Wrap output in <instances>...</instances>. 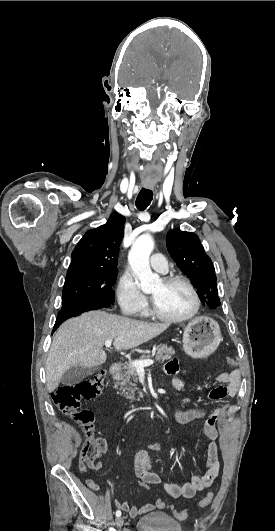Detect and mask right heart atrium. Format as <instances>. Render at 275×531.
<instances>
[{"mask_svg": "<svg viewBox=\"0 0 275 531\" xmlns=\"http://www.w3.org/2000/svg\"><path fill=\"white\" fill-rule=\"evenodd\" d=\"M118 300L123 312L129 316H144L149 308L147 296L144 295L130 273H124L118 282Z\"/></svg>", "mask_w": 275, "mask_h": 531, "instance_id": "obj_1", "label": "right heart atrium"}]
</instances>
